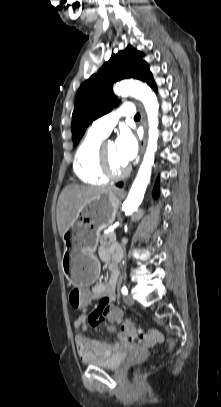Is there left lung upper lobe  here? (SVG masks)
I'll use <instances>...</instances> for the list:
<instances>
[{"mask_svg":"<svg viewBox=\"0 0 221 407\" xmlns=\"http://www.w3.org/2000/svg\"><path fill=\"white\" fill-rule=\"evenodd\" d=\"M125 78H134L151 87L155 85L143 54L131 45L113 54L98 71L78 89L72 116V139L76 146L88 125L95 119L110 112L118 105L112 92L113 83Z\"/></svg>","mask_w":221,"mask_h":407,"instance_id":"obj_1","label":"left lung upper lobe"}]
</instances>
